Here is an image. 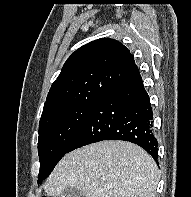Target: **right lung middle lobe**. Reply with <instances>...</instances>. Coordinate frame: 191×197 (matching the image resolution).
<instances>
[{
	"mask_svg": "<svg viewBox=\"0 0 191 197\" xmlns=\"http://www.w3.org/2000/svg\"><path fill=\"white\" fill-rule=\"evenodd\" d=\"M96 103L66 108L40 120L38 183H41L51 173L58 161L67 153Z\"/></svg>",
	"mask_w": 191,
	"mask_h": 197,
	"instance_id": "obj_1",
	"label": "right lung middle lobe"
}]
</instances>
